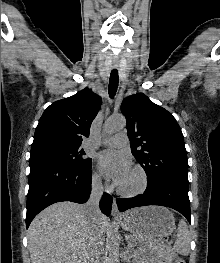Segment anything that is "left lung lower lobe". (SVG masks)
<instances>
[{"instance_id":"obj_1","label":"left lung lower lobe","mask_w":220,"mask_h":263,"mask_svg":"<svg viewBox=\"0 0 220 263\" xmlns=\"http://www.w3.org/2000/svg\"><path fill=\"white\" fill-rule=\"evenodd\" d=\"M117 205L120 212L146 205L166 206L180 212L191 223L188 188L174 182L159 181L152 185H147L142 195L133 198L117 199Z\"/></svg>"}]
</instances>
